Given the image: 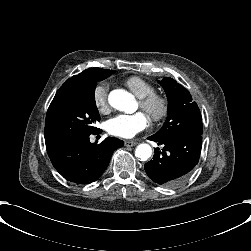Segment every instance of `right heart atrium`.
Masks as SVG:
<instances>
[{
    "label": "right heart atrium",
    "instance_id": "obj_1",
    "mask_svg": "<svg viewBox=\"0 0 251 251\" xmlns=\"http://www.w3.org/2000/svg\"><path fill=\"white\" fill-rule=\"evenodd\" d=\"M94 106L99 112H105L108 107V88L104 83L97 84L92 92Z\"/></svg>",
    "mask_w": 251,
    "mask_h": 251
}]
</instances>
